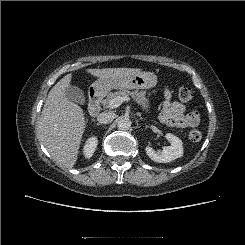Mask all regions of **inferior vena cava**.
<instances>
[{"label":"inferior vena cava","mask_w":245,"mask_h":245,"mask_svg":"<svg viewBox=\"0 0 245 245\" xmlns=\"http://www.w3.org/2000/svg\"><path fill=\"white\" fill-rule=\"evenodd\" d=\"M115 118V114L112 112H102L98 115L97 121L101 124L111 123Z\"/></svg>","instance_id":"602c4592"}]
</instances>
